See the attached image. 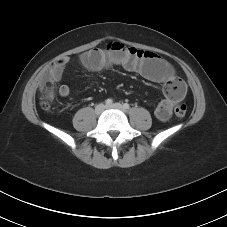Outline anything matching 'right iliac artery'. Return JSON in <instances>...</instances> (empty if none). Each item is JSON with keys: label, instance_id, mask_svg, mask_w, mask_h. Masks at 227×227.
I'll use <instances>...</instances> for the list:
<instances>
[{"label": "right iliac artery", "instance_id": "1", "mask_svg": "<svg viewBox=\"0 0 227 227\" xmlns=\"http://www.w3.org/2000/svg\"><path fill=\"white\" fill-rule=\"evenodd\" d=\"M112 103H113L112 99H107V100L105 101V104H106V105H111Z\"/></svg>", "mask_w": 227, "mask_h": 227}]
</instances>
